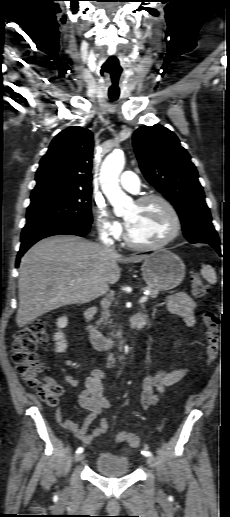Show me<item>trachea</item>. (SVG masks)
Returning a JSON list of instances; mask_svg holds the SVG:
<instances>
[{"mask_svg":"<svg viewBox=\"0 0 230 517\" xmlns=\"http://www.w3.org/2000/svg\"><path fill=\"white\" fill-rule=\"evenodd\" d=\"M109 99H110L111 101H116V100L118 99V96H115V95H111V94H109Z\"/></svg>","mask_w":230,"mask_h":517,"instance_id":"obj_1","label":"trachea"}]
</instances>
